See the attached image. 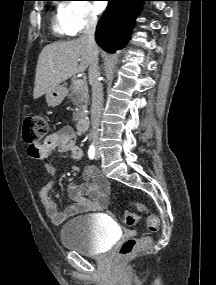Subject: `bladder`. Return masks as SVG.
Here are the masks:
<instances>
[{
	"label": "bladder",
	"instance_id": "obj_1",
	"mask_svg": "<svg viewBox=\"0 0 216 285\" xmlns=\"http://www.w3.org/2000/svg\"><path fill=\"white\" fill-rule=\"evenodd\" d=\"M117 237V229L96 215H82L67 221L60 230L62 245L83 255L107 252Z\"/></svg>",
	"mask_w": 216,
	"mask_h": 285
}]
</instances>
